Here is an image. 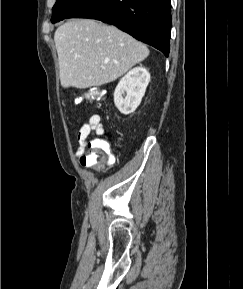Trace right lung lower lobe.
<instances>
[{
	"instance_id": "obj_1",
	"label": "right lung lower lobe",
	"mask_w": 243,
	"mask_h": 289,
	"mask_svg": "<svg viewBox=\"0 0 243 289\" xmlns=\"http://www.w3.org/2000/svg\"><path fill=\"white\" fill-rule=\"evenodd\" d=\"M67 18H92L112 24L169 55L170 0H84Z\"/></svg>"
}]
</instances>
